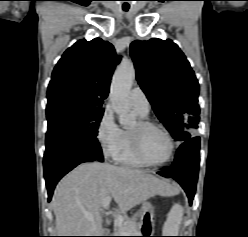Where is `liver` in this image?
<instances>
[{
    "label": "liver",
    "mask_w": 248,
    "mask_h": 237,
    "mask_svg": "<svg viewBox=\"0 0 248 237\" xmlns=\"http://www.w3.org/2000/svg\"><path fill=\"white\" fill-rule=\"evenodd\" d=\"M176 192L169 184L145 171L108 163H84L56 186L52 207L58 236H102V207L114 198L121 213L155 195ZM86 214L93 220L86 218Z\"/></svg>",
    "instance_id": "obj_1"
}]
</instances>
